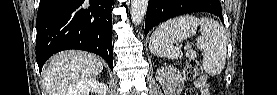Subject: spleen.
<instances>
[{
	"label": "spleen",
	"instance_id": "spleen-1",
	"mask_svg": "<svg viewBox=\"0 0 277 95\" xmlns=\"http://www.w3.org/2000/svg\"><path fill=\"white\" fill-rule=\"evenodd\" d=\"M198 26L201 35L196 38V46L203 51V69L208 75H218L225 66L228 40L224 28L212 18L184 15L162 23L150 37L149 50L162 58L181 59L183 52L178 43L194 36Z\"/></svg>",
	"mask_w": 277,
	"mask_h": 95
}]
</instances>
